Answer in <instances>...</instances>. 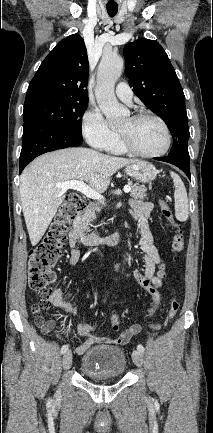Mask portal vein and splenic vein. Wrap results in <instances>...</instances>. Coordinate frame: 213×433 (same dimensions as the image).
Listing matches in <instances>:
<instances>
[{
  "mask_svg": "<svg viewBox=\"0 0 213 433\" xmlns=\"http://www.w3.org/2000/svg\"><path fill=\"white\" fill-rule=\"evenodd\" d=\"M56 187L61 188L63 191H66L68 189H73L78 192H81L88 198L104 201V197L97 191L93 190L91 187L86 185L83 181H67L62 183H56ZM124 192L129 193L131 191L130 186H124Z\"/></svg>",
  "mask_w": 213,
  "mask_h": 433,
  "instance_id": "18ae733b",
  "label": "portal vein and splenic vein"
}]
</instances>
